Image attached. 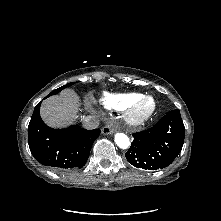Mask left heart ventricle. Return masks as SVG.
Wrapping results in <instances>:
<instances>
[{"label":"left heart ventricle","instance_id":"obj_1","mask_svg":"<svg viewBox=\"0 0 221 221\" xmlns=\"http://www.w3.org/2000/svg\"><path fill=\"white\" fill-rule=\"evenodd\" d=\"M152 108V101L143 102L136 110L137 115H144Z\"/></svg>","mask_w":221,"mask_h":221}]
</instances>
